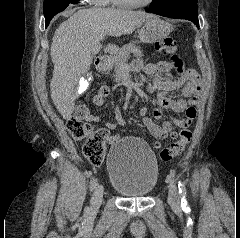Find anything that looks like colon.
<instances>
[{
  "instance_id": "5ec220e1",
  "label": "colon",
  "mask_w": 240,
  "mask_h": 238,
  "mask_svg": "<svg viewBox=\"0 0 240 238\" xmlns=\"http://www.w3.org/2000/svg\"><path fill=\"white\" fill-rule=\"evenodd\" d=\"M156 49L168 55L177 71L184 73V63L179 57L177 44L171 37H166L156 43ZM90 114L89 105L84 100H79L76 104L74 113L67 121V129L71 136L77 140L85 139L83 147L84 155L93 163H100L105 154L106 131L103 129H92L86 122L87 115ZM177 135L174 137L176 138ZM192 134L188 129L180 132L179 137L168 147L160 151L162 161H170L174 157L180 155L185 147L190 143Z\"/></svg>"
}]
</instances>
